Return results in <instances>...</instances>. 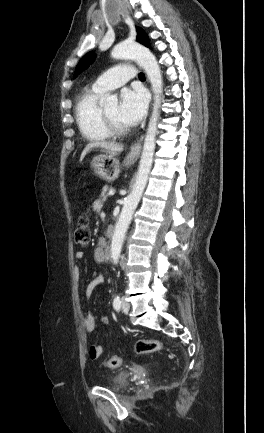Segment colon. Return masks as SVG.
I'll use <instances>...</instances> for the list:
<instances>
[{"mask_svg": "<svg viewBox=\"0 0 264 433\" xmlns=\"http://www.w3.org/2000/svg\"><path fill=\"white\" fill-rule=\"evenodd\" d=\"M91 240V230L87 217H82L74 231V241L80 247H86ZM164 350V344L154 339H139L135 343L137 354H150ZM120 356H111L105 360L104 365L108 368H118L122 365Z\"/></svg>", "mask_w": 264, "mask_h": 433, "instance_id": "5ec220e1", "label": "colon"}]
</instances>
